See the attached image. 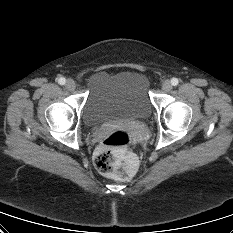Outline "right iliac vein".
I'll return each instance as SVG.
<instances>
[{
	"instance_id": "63e3f726",
	"label": "right iliac vein",
	"mask_w": 233,
	"mask_h": 233,
	"mask_svg": "<svg viewBox=\"0 0 233 233\" xmlns=\"http://www.w3.org/2000/svg\"><path fill=\"white\" fill-rule=\"evenodd\" d=\"M65 86L69 91H73L76 88V83H75V81L73 79H68L66 81Z\"/></svg>"
}]
</instances>
